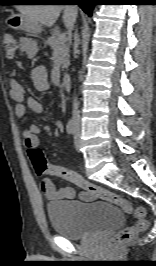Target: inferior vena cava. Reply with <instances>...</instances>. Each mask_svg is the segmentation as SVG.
<instances>
[{
    "mask_svg": "<svg viewBox=\"0 0 156 266\" xmlns=\"http://www.w3.org/2000/svg\"><path fill=\"white\" fill-rule=\"evenodd\" d=\"M72 7H73V9L76 12V6L72 5ZM73 28H74V26H73ZM78 44H79V36H78L77 33H75V35H74V46L77 47ZM73 120L76 123H79V121H80L79 110H78V102H77L76 98L74 99V103H73Z\"/></svg>",
    "mask_w": 156,
    "mask_h": 266,
    "instance_id": "1",
    "label": "inferior vena cava"
}]
</instances>
